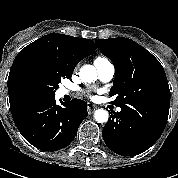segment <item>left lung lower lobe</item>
Here are the masks:
<instances>
[{
	"instance_id": "left-lung-lower-lobe-1",
	"label": "left lung lower lobe",
	"mask_w": 178,
	"mask_h": 178,
	"mask_svg": "<svg viewBox=\"0 0 178 178\" xmlns=\"http://www.w3.org/2000/svg\"><path fill=\"white\" fill-rule=\"evenodd\" d=\"M167 120L121 108L103 128L107 147L123 156H134L149 149L163 133Z\"/></svg>"
}]
</instances>
